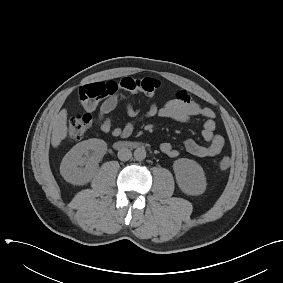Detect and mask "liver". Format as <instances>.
<instances>
[{
	"instance_id": "obj_1",
	"label": "liver",
	"mask_w": 283,
	"mask_h": 283,
	"mask_svg": "<svg viewBox=\"0 0 283 283\" xmlns=\"http://www.w3.org/2000/svg\"><path fill=\"white\" fill-rule=\"evenodd\" d=\"M67 136V110L62 109L52 121L51 144L54 148L58 147Z\"/></svg>"
}]
</instances>
